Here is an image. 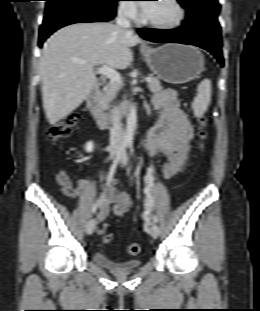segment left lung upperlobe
I'll return each mask as SVG.
<instances>
[{
  "mask_svg": "<svg viewBox=\"0 0 260 311\" xmlns=\"http://www.w3.org/2000/svg\"><path fill=\"white\" fill-rule=\"evenodd\" d=\"M186 9V24H204L220 29L218 13L220 4L217 0H178Z\"/></svg>",
  "mask_w": 260,
  "mask_h": 311,
  "instance_id": "5c2ea615",
  "label": "left lung upper lobe"
}]
</instances>
